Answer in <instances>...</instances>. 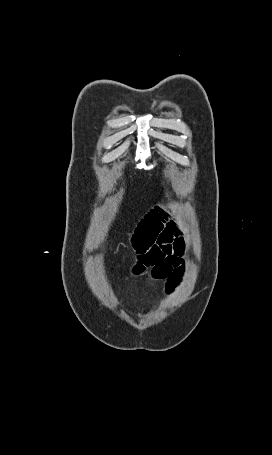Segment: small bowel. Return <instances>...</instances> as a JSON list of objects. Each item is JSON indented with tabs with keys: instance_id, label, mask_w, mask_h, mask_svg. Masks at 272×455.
Returning <instances> with one entry per match:
<instances>
[{
	"instance_id": "obj_1",
	"label": "small bowel",
	"mask_w": 272,
	"mask_h": 455,
	"mask_svg": "<svg viewBox=\"0 0 272 455\" xmlns=\"http://www.w3.org/2000/svg\"><path fill=\"white\" fill-rule=\"evenodd\" d=\"M133 248L137 254V273L149 269L153 279L166 281L168 286L178 281L183 240L161 212L154 210L141 220L133 235Z\"/></svg>"
}]
</instances>
